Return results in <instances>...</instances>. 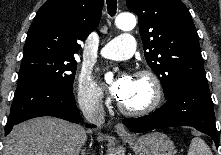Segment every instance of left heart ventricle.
<instances>
[{"mask_svg": "<svg viewBox=\"0 0 221 155\" xmlns=\"http://www.w3.org/2000/svg\"><path fill=\"white\" fill-rule=\"evenodd\" d=\"M152 98L151 83L145 78H133L132 86L121 102L129 108H141Z\"/></svg>", "mask_w": 221, "mask_h": 155, "instance_id": "obj_1", "label": "left heart ventricle"}]
</instances>
